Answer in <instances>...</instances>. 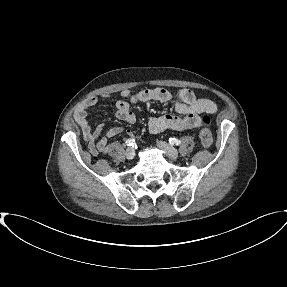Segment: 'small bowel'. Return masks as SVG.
<instances>
[{
    "label": "small bowel",
    "instance_id": "c3829d8e",
    "mask_svg": "<svg viewBox=\"0 0 287 287\" xmlns=\"http://www.w3.org/2000/svg\"><path fill=\"white\" fill-rule=\"evenodd\" d=\"M123 99L116 103V116L118 119L127 123L133 124L136 121L135 114L130 109V104L145 103L150 101L170 102L173 99L171 92L166 89H144L138 93L132 94L129 90H124L121 93ZM102 98H107L109 95H102ZM178 100L174 102V109L182 116L162 115L149 116L148 128L152 133H160L170 129L175 131H187L202 126V113L214 114L217 110L216 104L208 99H198L195 94L187 89L181 90L178 93ZM128 99V100H127ZM99 98L96 96L88 98L74 113V119L80 127L86 146L92 155H97L100 152L108 150L109 139L120 135L124 132L122 127H113L98 140L102 133L103 124H99L92 130L87 119V110L96 105ZM128 135L132 134L131 130H126Z\"/></svg>",
    "mask_w": 287,
    "mask_h": 287
}]
</instances>
